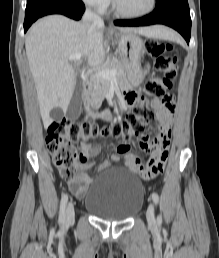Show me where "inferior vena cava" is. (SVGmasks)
<instances>
[{"instance_id": "obj_1", "label": "inferior vena cava", "mask_w": 219, "mask_h": 258, "mask_svg": "<svg viewBox=\"0 0 219 258\" xmlns=\"http://www.w3.org/2000/svg\"><path fill=\"white\" fill-rule=\"evenodd\" d=\"M83 21L93 23L97 26H104L103 19L95 14L93 11H91V9H86L83 15Z\"/></svg>"}]
</instances>
